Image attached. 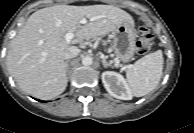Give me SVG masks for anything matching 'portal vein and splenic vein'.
Listing matches in <instances>:
<instances>
[{
    "label": "portal vein and splenic vein",
    "mask_w": 194,
    "mask_h": 133,
    "mask_svg": "<svg viewBox=\"0 0 194 133\" xmlns=\"http://www.w3.org/2000/svg\"><path fill=\"white\" fill-rule=\"evenodd\" d=\"M93 20H94V19H91L90 21H93ZM87 22H88V21H87L85 18H83V19L81 20V23H82V24H86ZM64 38H65V41H66V42L70 43L71 40L74 38V33L68 32V33L65 34Z\"/></svg>",
    "instance_id": "portal-vein-and-splenic-vein-1"
}]
</instances>
